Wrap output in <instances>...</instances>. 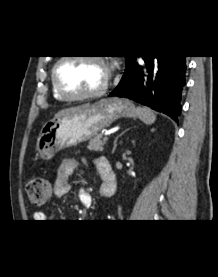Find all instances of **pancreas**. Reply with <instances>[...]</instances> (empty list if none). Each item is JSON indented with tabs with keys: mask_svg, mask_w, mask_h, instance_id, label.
I'll return each mask as SVG.
<instances>
[{
	"mask_svg": "<svg viewBox=\"0 0 218 277\" xmlns=\"http://www.w3.org/2000/svg\"><path fill=\"white\" fill-rule=\"evenodd\" d=\"M105 142L101 140V135H97L89 141L87 148L91 151L102 152Z\"/></svg>",
	"mask_w": 218,
	"mask_h": 277,
	"instance_id": "1",
	"label": "pancreas"
}]
</instances>
